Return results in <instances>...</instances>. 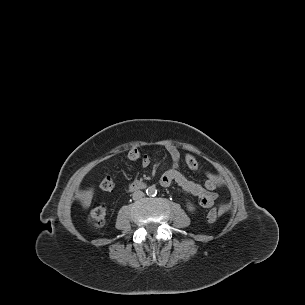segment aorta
I'll list each match as a JSON object with an SVG mask.
<instances>
[{
    "mask_svg": "<svg viewBox=\"0 0 305 305\" xmlns=\"http://www.w3.org/2000/svg\"><path fill=\"white\" fill-rule=\"evenodd\" d=\"M146 193H147L148 196H155L156 193H157V190L154 187H148L146 189Z\"/></svg>",
    "mask_w": 305,
    "mask_h": 305,
    "instance_id": "obj_1",
    "label": "aorta"
}]
</instances>
